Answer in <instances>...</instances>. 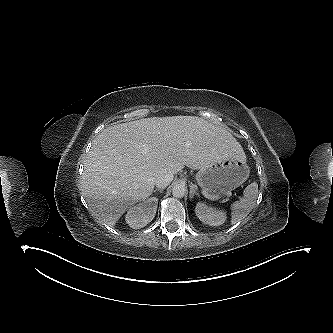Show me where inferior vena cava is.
<instances>
[{
    "label": "inferior vena cava",
    "mask_w": 333,
    "mask_h": 333,
    "mask_svg": "<svg viewBox=\"0 0 333 333\" xmlns=\"http://www.w3.org/2000/svg\"><path fill=\"white\" fill-rule=\"evenodd\" d=\"M172 180V174H160L155 179V185L157 188H165L172 182Z\"/></svg>",
    "instance_id": "obj_1"
}]
</instances>
